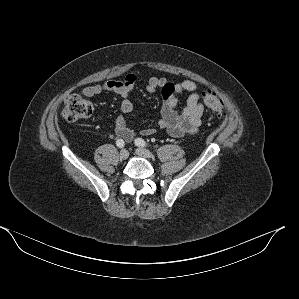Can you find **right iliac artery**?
Returning <instances> with one entry per match:
<instances>
[{"label":"right iliac artery","instance_id":"obj_1","mask_svg":"<svg viewBox=\"0 0 299 299\" xmlns=\"http://www.w3.org/2000/svg\"><path fill=\"white\" fill-rule=\"evenodd\" d=\"M116 145H117V147L122 148V147H124L125 143L122 139H118L116 141Z\"/></svg>","mask_w":299,"mask_h":299}]
</instances>
